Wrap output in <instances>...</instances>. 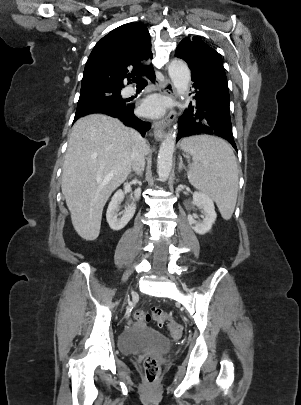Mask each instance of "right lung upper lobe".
I'll use <instances>...</instances> for the list:
<instances>
[{"label":"right lung upper lobe","instance_id":"cb5924a9","mask_svg":"<svg viewBox=\"0 0 301 405\" xmlns=\"http://www.w3.org/2000/svg\"><path fill=\"white\" fill-rule=\"evenodd\" d=\"M149 58H152V52L147 27L140 23L122 25L93 48L84 69L81 90L95 87L122 89L129 68H132L133 75H144L153 70L151 66L139 64Z\"/></svg>","mask_w":301,"mask_h":405}]
</instances>
